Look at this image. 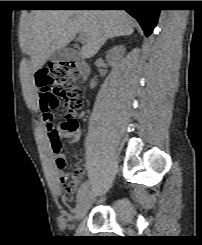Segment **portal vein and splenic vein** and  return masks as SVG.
Listing matches in <instances>:
<instances>
[{
    "mask_svg": "<svg viewBox=\"0 0 202 245\" xmlns=\"http://www.w3.org/2000/svg\"><path fill=\"white\" fill-rule=\"evenodd\" d=\"M78 40L82 43H85L86 41V36L84 33H80L79 37H78Z\"/></svg>",
    "mask_w": 202,
    "mask_h": 245,
    "instance_id": "obj_1",
    "label": "portal vein and splenic vein"
}]
</instances>
